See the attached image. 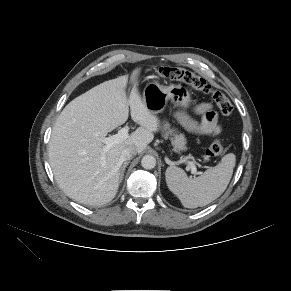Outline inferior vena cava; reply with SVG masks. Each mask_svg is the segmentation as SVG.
Wrapping results in <instances>:
<instances>
[{
    "label": "inferior vena cava",
    "instance_id": "obj_1",
    "mask_svg": "<svg viewBox=\"0 0 291 291\" xmlns=\"http://www.w3.org/2000/svg\"><path fill=\"white\" fill-rule=\"evenodd\" d=\"M137 154V151L134 147H128L122 150L121 155H120V160L126 161L130 160Z\"/></svg>",
    "mask_w": 291,
    "mask_h": 291
}]
</instances>
